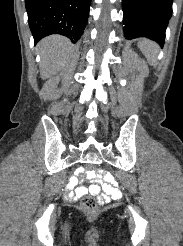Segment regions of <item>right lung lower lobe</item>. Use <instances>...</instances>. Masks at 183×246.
Wrapping results in <instances>:
<instances>
[{"label": "right lung lower lobe", "mask_w": 183, "mask_h": 246, "mask_svg": "<svg viewBox=\"0 0 183 246\" xmlns=\"http://www.w3.org/2000/svg\"><path fill=\"white\" fill-rule=\"evenodd\" d=\"M91 0H25L28 22L37 43L51 34L68 37L73 43L84 32Z\"/></svg>", "instance_id": "98d812e1"}]
</instances>
